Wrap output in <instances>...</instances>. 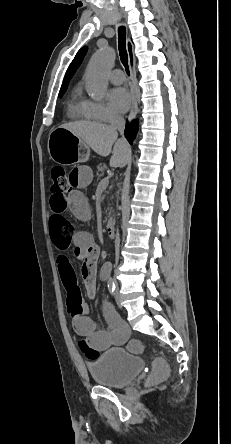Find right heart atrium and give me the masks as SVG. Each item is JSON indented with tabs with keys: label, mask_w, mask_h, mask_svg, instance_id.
<instances>
[{
	"label": "right heart atrium",
	"mask_w": 231,
	"mask_h": 444,
	"mask_svg": "<svg viewBox=\"0 0 231 444\" xmlns=\"http://www.w3.org/2000/svg\"><path fill=\"white\" fill-rule=\"evenodd\" d=\"M86 107L93 119L109 121L117 118V113L107 104L97 100H85Z\"/></svg>",
	"instance_id": "right-heart-atrium-1"
}]
</instances>
